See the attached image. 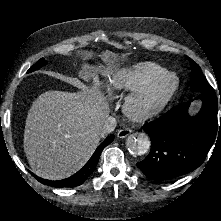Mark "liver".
<instances>
[{
    "mask_svg": "<svg viewBox=\"0 0 221 221\" xmlns=\"http://www.w3.org/2000/svg\"><path fill=\"white\" fill-rule=\"evenodd\" d=\"M107 117V102L96 86L79 93L41 94L28 112L24 131V151L33 173L60 180L77 172L98 146Z\"/></svg>",
    "mask_w": 221,
    "mask_h": 221,
    "instance_id": "obj_1",
    "label": "liver"
}]
</instances>
